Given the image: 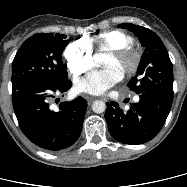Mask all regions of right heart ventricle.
Segmentation results:
<instances>
[{
    "instance_id": "right-heart-ventricle-1",
    "label": "right heart ventricle",
    "mask_w": 187,
    "mask_h": 187,
    "mask_svg": "<svg viewBox=\"0 0 187 187\" xmlns=\"http://www.w3.org/2000/svg\"><path fill=\"white\" fill-rule=\"evenodd\" d=\"M87 41L91 47L106 52L124 46H133L134 43L130 35L120 30L104 31Z\"/></svg>"
}]
</instances>
